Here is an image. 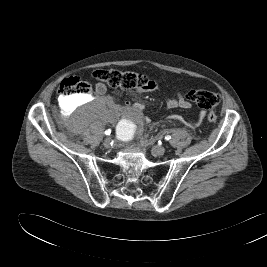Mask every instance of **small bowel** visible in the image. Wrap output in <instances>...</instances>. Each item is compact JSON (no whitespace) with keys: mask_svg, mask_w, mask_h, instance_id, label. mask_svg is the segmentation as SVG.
Returning a JSON list of instances; mask_svg holds the SVG:
<instances>
[{"mask_svg":"<svg viewBox=\"0 0 267 267\" xmlns=\"http://www.w3.org/2000/svg\"><path fill=\"white\" fill-rule=\"evenodd\" d=\"M158 89L157 84L154 82L151 88L146 89H138V92H149L155 91ZM95 92L99 96H104L107 92V87L104 83L99 82L95 86ZM108 102H111L110 99H107ZM167 107L170 109L181 108V109H190L191 103L190 101L181 93H177L172 97L167 98L166 100ZM142 105L141 104H133L131 107H128L126 110H119V116L121 117H130L133 121L139 123L140 121H144L146 123H150L151 119L149 117H142L141 115ZM205 113L201 112L199 115V119L197 122L191 123V125H199L202 123Z\"/></svg>","mask_w":267,"mask_h":267,"instance_id":"small-bowel-1","label":"small bowel"}]
</instances>
